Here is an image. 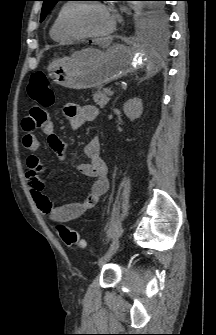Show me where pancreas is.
I'll use <instances>...</instances> for the list:
<instances>
[{"mask_svg":"<svg viewBox=\"0 0 216 335\" xmlns=\"http://www.w3.org/2000/svg\"><path fill=\"white\" fill-rule=\"evenodd\" d=\"M109 92L110 88L96 91L93 95V101L96 103V105L100 106V108H104L110 100V98L107 97Z\"/></svg>","mask_w":216,"mask_h":335,"instance_id":"obj_1","label":"pancreas"}]
</instances>
